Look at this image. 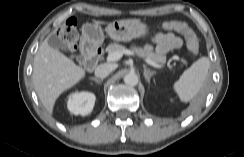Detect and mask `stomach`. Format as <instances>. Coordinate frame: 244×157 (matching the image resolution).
Listing matches in <instances>:
<instances>
[{
  "mask_svg": "<svg viewBox=\"0 0 244 157\" xmlns=\"http://www.w3.org/2000/svg\"><path fill=\"white\" fill-rule=\"evenodd\" d=\"M106 32L113 40L126 42L145 37L149 33V28L139 19H122L109 23ZM103 40L104 33L99 24L83 25L81 44L84 47H97L103 43Z\"/></svg>",
  "mask_w": 244,
  "mask_h": 157,
  "instance_id": "obj_1",
  "label": "stomach"
}]
</instances>
